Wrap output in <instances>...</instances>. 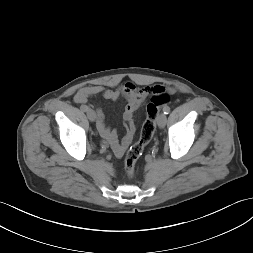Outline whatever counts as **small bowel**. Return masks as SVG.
I'll return each mask as SVG.
<instances>
[{
    "mask_svg": "<svg viewBox=\"0 0 253 253\" xmlns=\"http://www.w3.org/2000/svg\"><path fill=\"white\" fill-rule=\"evenodd\" d=\"M154 87L144 86L137 87L131 82L125 83L119 89H109L101 85H91L80 88L74 96V101L77 104L86 105L88 100L96 95H102L105 99L116 101L121 96L127 100V105L123 114L126 133L122 140H119L117 132L105 122L104 112L98 108L97 114V129L100 135L110 144L117 157L123 156L128 146L134 139L136 125L134 122L135 111L144 103L146 98L153 93Z\"/></svg>",
    "mask_w": 253,
    "mask_h": 253,
    "instance_id": "c3829d8e",
    "label": "small bowel"
}]
</instances>
